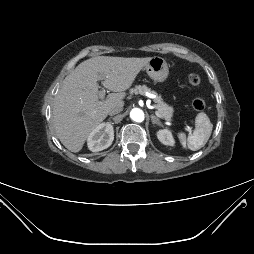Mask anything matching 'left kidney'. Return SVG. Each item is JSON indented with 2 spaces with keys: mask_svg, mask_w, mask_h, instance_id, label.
<instances>
[{
  "mask_svg": "<svg viewBox=\"0 0 254 254\" xmlns=\"http://www.w3.org/2000/svg\"><path fill=\"white\" fill-rule=\"evenodd\" d=\"M157 137L161 143L168 146H174L175 141L171 132L167 129H161L157 132Z\"/></svg>",
  "mask_w": 254,
  "mask_h": 254,
  "instance_id": "5707ae66",
  "label": "left kidney"
}]
</instances>
